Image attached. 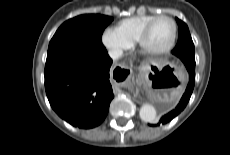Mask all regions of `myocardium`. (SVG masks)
Instances as JSON below:
<instances>
[{
	"instance_id": "1",
	"label": "myocardium",
	"mask_w": 230,
	"mask_h": 155,
	"mask_svg": "<svg viewBox=\"0 0 230 155\" xmlns=\"http://www.w3.org/2000/svg\"><path fill=\"white\" fill-rule=\"evenodd\" d=\"M159 19H168L172 23L173 34H172V38H171L170 43L166 47L159 49V50H152V49H149L146 47V39H147V36L149 34V31H150L152 25ZM177 35H178V26H177V23L174 20V18H172L169 15L162 14V15L155 16L152 20H150L144 26V28L142 29V31L138 37L137 43H138V45H139V47L143 53L150 55V56H161V55L167 54L168 52H170L173 49V47L175 46L176 40H177Z\"/></svg>"
}]
</instances>
